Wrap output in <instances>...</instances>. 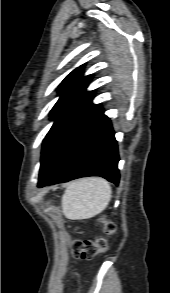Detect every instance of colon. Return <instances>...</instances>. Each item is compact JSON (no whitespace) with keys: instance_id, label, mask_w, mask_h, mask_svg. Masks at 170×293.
Segmentation results:
<instances>
[{"instance_id":"5ec220e1","label":"colon","mask_w":170,"mask_h":293,"mask_svg":"<svg viewBox=\"0 0 170 293\" xmlns=\"http://www.w3.org/2000/svg\"><path fill=\"white\" fill-rule=\"evenodd\" d=\"M105 236L95 239L75 240L72 244V255L79 260L89 261L96 255L106 251L108 238L115 233V224L105 219H99Z\"/></svg>"}]
</instances>
